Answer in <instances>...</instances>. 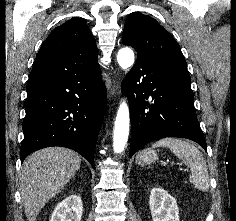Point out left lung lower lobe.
Segmentation results:
<instances>
[{
	"label": "left lung lower lobe",
	"mask_w": 236,
	"mask_h": 221,
	"mask_svg": "<svg viewBox=\"0 0 236 221\" xmlns=\"http://www.w3.org/2000/svg\"><path fill=\"white\" fill-rule=\"evenodd\" d=\"M190 83L188 75L137 58L122 83L130 104V157L149 142L163 137L188 138L207 150Z\"/></svg>",
	"instance_id": "left-lung-lower-lobe-1"
}]
</instances>
